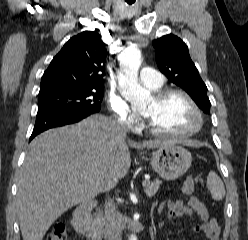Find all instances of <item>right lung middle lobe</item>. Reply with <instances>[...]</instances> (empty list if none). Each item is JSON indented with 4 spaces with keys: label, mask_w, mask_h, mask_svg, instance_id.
Wrapping results in <instances>:
<instances>
[{
    "label": "right lung middle lobe",
    "mask_w": 248,
    "mask_h": 240,
    "mask_svg": "<svg viewBox=\"0 0 248 240\" xmlns=\"http://www.w3.org/2000/svg\"><path fill=\"white\" fill-rule=\"evenodd\" d=\"M102 99L103 89H74L38 95V112L97 113Z\"/></svg>",
    "instance_id": "obj_1"
}]
</instances>
